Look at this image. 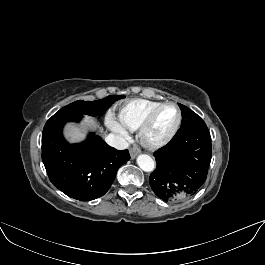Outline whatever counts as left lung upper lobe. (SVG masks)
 <instances>
[{
  "mask_svg": "<svg viewBox=\"0 0 265 265\" xmlns=\"http://www.w3.org/2000/svg\"><path fill=\"white\" fill-rule=\"evenodd\" d=\"M178 105L182 111V124L180 129L178 130V133L187 131L201 123H204L202 118L198 116L195 112H193L191 109L182 104Z\"/></svg>",
  "mask_w": 265,
  "mask_h": 265,
  "instance_id": "obj_1",
  "label": "left lung upper lobe"
}]
</instances>
